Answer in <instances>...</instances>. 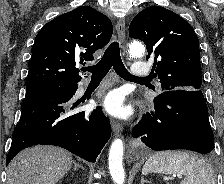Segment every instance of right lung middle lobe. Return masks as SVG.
Returning a JSON list of instances; mask_svg holds the SVG:
<instances>
[{
    "instance_id": "right-lung-middle-lobe-1",
    "label": "right lung middle lobe",
    "mask_w": 224,
    "mask_h": 184,
    "mask_svg": "<svg viewBox=\"0 0 224 184\" xmlns=\"http://www.w3.org/2000/svg\"><path fill=\"white\" fill-rule=\"evenodd\" d=\"M61 86L62 85H45V84L26 86V99L47 91L55 90Z\"/></svg>"
}]
</instances>
